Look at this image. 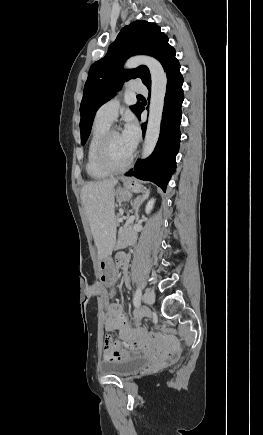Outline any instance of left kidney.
Here are the masks:
<instances>
[{"instance_id":"5707ae66","label":"left kidney","mask_w":263,"mask_h":435,"mask_svg":"<svg viewBox=\"0 0 263 435\" xmlns=\"http://www.w3.org/2000/svg\"><path fill=\"white\" fill-rule=\"evenodd\" d=\"M154 203H155V199H154V198L150 199V200L147 202V204H146V208H145V212H146L147 214H149V213L151 212V210L153 209Z\"/></svg>"}]
</instances>
